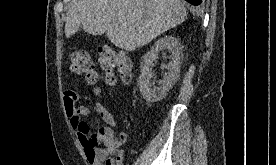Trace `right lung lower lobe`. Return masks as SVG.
I'll return each instance as SVG.
<instances>
[{
  "instance_id": "obj_1",
  "label": "right lung lower lobe",
  "mask_w": 276,
  "mask_h": 165,
  "mask_svg": "<svg viewBox=\"0 0 276 165\" xmlns=\"http://www.w3.org/2000/svg\"><path fill=\"white\" fill-rule=\"evenodd\" d=\"M187 2L191 3L192 5H200L202 0H186Z\"/></svg>"
}]
</instances>
